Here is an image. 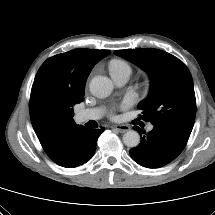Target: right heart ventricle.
<instances>
[{
	"instance_id": "right-heart-ventricle-1",
	"label": "right heart ventricle",
	"mask_w": 215,
	"mask_h": 215,
	"mask_svg": "<svg viewBox=\"0 0 215 215\" xmlns=\"http://www.w3.org/2000/svg\"><path fill=\"white\" fill-rule=\"evenodd\" d=\"M108 69L111 76H117V75L130 76L132 73L131 65L127 61L123 59H118V58H115L109 61Z\"/></svg>"
}]
</instances>
